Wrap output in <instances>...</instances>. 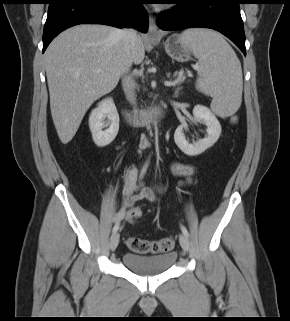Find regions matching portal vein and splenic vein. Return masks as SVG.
<instances>
[{"label":"portal vein and splenic vein","mask_w":290,"mask_h":321,"mask_svg":"<svg viewBox=\"0 0 290 321\" xmlns=\"http://www.w3.org/2000/svg\"><path fill=\"white\" fill-rule=\"evenodd\" d=\"M100 70H97V72H99ZM185 80V77H179L178 79H176L173 83H169V85H174V84H179L182 83Z\"/></svg>","instance_id":"portal-vein-and-splenic-vein-1"}]
</instances>
